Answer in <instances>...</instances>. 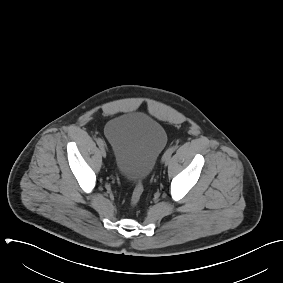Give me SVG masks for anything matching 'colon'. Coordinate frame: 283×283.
Instances as JSON below:
<instances>
[{
	"instance_id": "colon-1",
	"label": "colon",
	"mask_w": 283,
	"mask_h": 283,
	"mask_svg": "<svg viewBox=\"0 0 283 283\" xmlns=\"http://www.w3.org/2000/svg\"><path fill=\"white\" fill-rule=\"evenodd\" d=\"M144 191V186H143V182L141 180H137L133 192H132V196H131V205L135 206L137 205V203L139 202L142 193Z\"/></svg>"
}]
</instances>
